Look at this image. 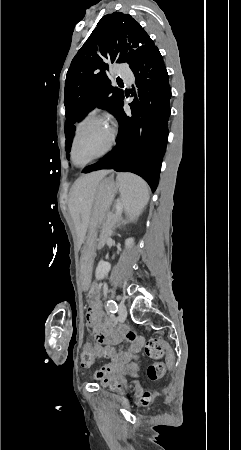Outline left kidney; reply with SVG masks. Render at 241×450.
Instances as JSON below:
<instances>
[{
  "mask_svg": "<svg viewBox=\"0 0 241 450\" xmlns=\"http://www.w3.org/2000/svg\"><path fill=\"white\" fill-rule=\"evenodd\" d=\"M134 240L133 238H129V240H126L125 244L127 246V248H131L132 244H133ZM111 270V266L110 264H106V262H103V260H101V262H99L97 268H96V280H103V278H105V276H107L108 272H110Z\"/></svg>",
  "mask_w": 241,
  "mask_h": 450,
  "instance_id": "obj_1",
  "label": "left kidney"
}]
</instances>
